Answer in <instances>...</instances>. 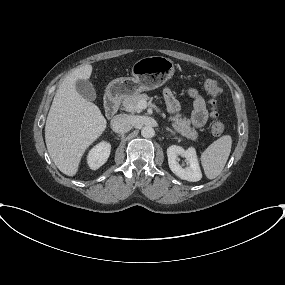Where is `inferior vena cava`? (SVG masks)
Segmentation results:
<instances>
[{
    "label": "inferior vena cava",
    "mask_w": 285,
    "mask_h": 285,
    "mask_svg": "<svg viewBox=\"0 0 285 285\" xmlns=\"http://www.w3.org/2000/svg\"><path fill=\"white\" fill-rule=\"evenodd\" d=\"M134 120L127 114H119L111 120V128L116 133H125L132 129Z\"/></svg>",
    "instance_id": "1"
}]
</instances>
